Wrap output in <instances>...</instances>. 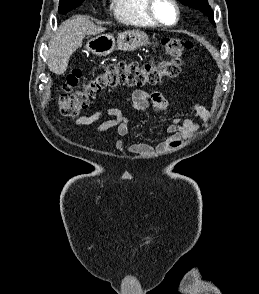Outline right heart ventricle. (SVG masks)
I'll use <instances>...</instances> for the list:
<instances>
[{"label": "right heart ventricle", "instance_id": "right-heart-ventricle-1", "mask_svg": "<svg viewBox=\"0 0 259 294\" xmlns=\"http://www.w3.org/2000/svg\"><path fill=\"white\" fill-rule=\"evenodd\" d=\"M146 0H112V11L121 23L138 27H156L146 13Z\"/></svg>", "mask_w": 259, "mask_h": 294}]
</instances>
